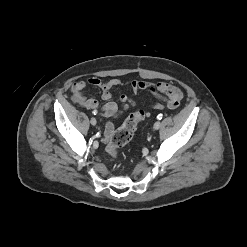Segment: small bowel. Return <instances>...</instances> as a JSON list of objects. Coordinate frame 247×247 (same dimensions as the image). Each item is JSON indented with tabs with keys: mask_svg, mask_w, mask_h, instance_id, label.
Listing matches in <instances>:
<instances>
[{
	"mask_svg": "<svg viewBox=\"0 0 247 247\" xmlns=\"http://www.w3.org/2000/svg\"><path fill=\"white\" fill-rule=\"evenodd\" d=\"M87 82L89 85L95 86L101 90V97L106 101V103L104 105H100L96 99L87 97L85 92L86 84L83 81L75 82L72 85V100L83 108L92 109L99 112L103 118H117L135 105L134 99L127 97L126 95H121L120 97V102L123 104L122 108H119L114 101H111V91L116 87L130 86L134 96L143 90L150 91L154 96L160 99V102L155 104V108L157 109H162L164 107L175 109L179 106L183 98L182 91L177 86L167 82L154 83L143 80L124 82L116 78L105 81L96 77L89 78ZM113 131V124L111 122H107L104 126L103 140L106 141L111 136Z\"/></svg>",
	"mask_w": 247,
	"mask_h": 247,
	"instance_id": "obj_1",
	"label": "small bowel"
}]
</instances>
